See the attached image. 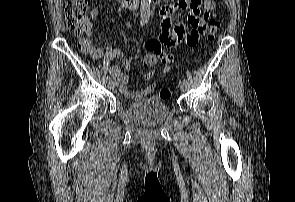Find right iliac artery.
Segmentation results:
<instances>
[{
  "instance_id": "right-iliac-artery-1",
  "label": "right iliac artery",
  "mask_w": 295,
  "mask_h": 202,
  "mask_svg": "<svg viewBox=\"0 0 295 202\" xmlns=\"http://www.w3.org/2000/svg\"><path fill=\"white\" fill-rule=\"evenodd\" d=\"M142 26H143V24H142ZM107 80H108V81H110V80H111V78H110L109 76H107Z\"/></svg>"
}]
</instances>
